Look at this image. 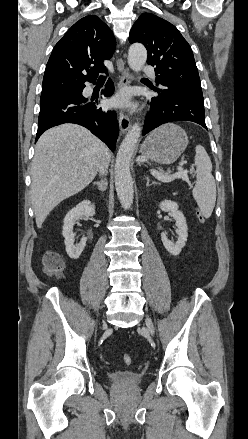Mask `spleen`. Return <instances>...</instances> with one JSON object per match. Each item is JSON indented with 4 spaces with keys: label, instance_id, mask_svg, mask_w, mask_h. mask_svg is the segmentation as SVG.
I'll list each match as a JSON object with an SVG mask.
<instances>
[{
    "label": "spleen",
    "instance_id": "spleen-1",
    "mask_svg": "<svg viewBox=\"0 0 248 439\" xmlns=\"http://www.w3.org/2000/svg\"><path fill=\"white\" fill-rule=\"evenodd\" d=\"M195 151L197 180L192 194L202 215L205 218H209L216 202V185L212 175V163L202 145H197Z\"/></svg>",
    "mask_w": 248,
    "mask_h": 439
}]
</instances>
